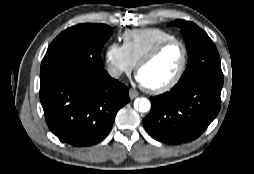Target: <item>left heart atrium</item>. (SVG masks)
<instances>
[{
  "mask_svg": "<svg viewBox=\"0 0 254 174\" xmlns=\"http://www.w3.org/2000/svg\"><path fill=\"white\" fill-rule=\"evenodd\" d=\"M136 79H137L139 84L144 85L142 79L140 78V76L138 74H137Z\"/></svg>",
  "mask_w": 254,
  "mask_h": 174,
  "instance_id": "obj_1",
  "label": "left heart atrium"
}]
</instances>
